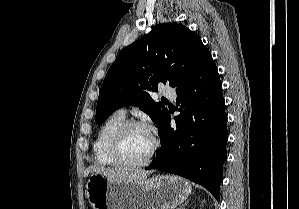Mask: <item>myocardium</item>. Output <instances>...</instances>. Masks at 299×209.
Instances as JSON below:
<instances>
[{
  "label": "myocardium",
  "mask_w": 299,
  "mask_h": 209,
  "mask_svg": "<svg viewBox=\"0 0 299 209\" xmlns=\"http://www.w3.org/2000/svg\"><path fill=\"white\" fill-rule=\"evenodd\" d=\"M133 128H141L147 131L152 140L151 149L146 158L140 162L127 163L120 157V147L124 135ZM160 146L159 139L154 130L146 123L137 120L125 121L114 133L110 143V156L115 166L124 169H138L147 166L155 157Z\"/></svg>",
  "instance_id": "f54148a6"
}]
</instances>
